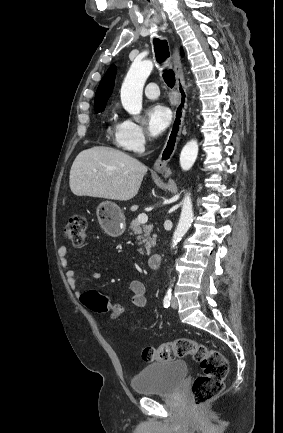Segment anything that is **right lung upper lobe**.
<instances>
[{
    "mask_svg": "<svg viewBox=\"0 0 283 433\" xmlns=\"http://www.w3.org/2000/svg\"><path fill=\"white\" fill-rule=\"evenodd\" d=\"M183 53V51H181ZM116 74V68L114 65H112L102 78L96 95H95V102H94V108L98 109L101 107H105L106 102L109 98V96L112 93L113 87H114V78Z\"/></svg>",
    "mask_w": 283,
    "mask_h": 433,
    "instance_id": "1",
    "label": "right lung upper lobe"
}]
</instances>
